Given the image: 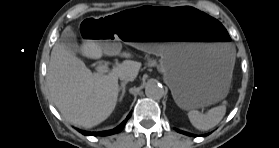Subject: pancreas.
Listing matches in <instances>:
<instances>
[{
	"label": "pancreas",
	"mask_w": 279,
	"mask_h": 148,
	"mask_svg": "<svg viewBox=\"0 0 279 148\" xmlns=\"http://www.w3.org/2000/svg\"><path fill=\"white\" fill-rule=\"evenodd\" d=\"M148 65L155 66V65H157V62L155 60H149Z\"/></svg>",
	"instance_id": "1"
}]
</instances>
